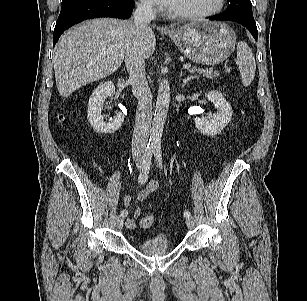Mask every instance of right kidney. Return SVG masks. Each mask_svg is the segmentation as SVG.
I'll use <instances>...</instances> for the list:
<instances>
[{
  "label": "right kidney",
  "mask_w": 307,
  "mask_h": 301,
  "mask_svg": "<svg viewBox=\"0 0 307 301\" xmlns=\"http://www.w3.org/2000/svg\"><path fill=\"white\" fill-rule=\"evenodd\" d=\"M115 94V86L112 81L101 83L93 92L88 102L87 118L90 125L98 133L111 134L116 132L124 121L122 113H118L114 118H110L108 122H104L101 115L103 104L107 97L113 98Z\"/></svg>",
  "instance_id": "ca27d5eb"
}]
</instances>
